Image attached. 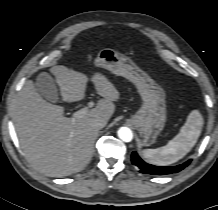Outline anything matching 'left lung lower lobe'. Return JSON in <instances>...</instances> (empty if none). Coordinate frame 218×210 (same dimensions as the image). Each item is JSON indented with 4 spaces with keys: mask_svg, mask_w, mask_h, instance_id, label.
<instances>
[{
    "mask_svg": "<svg viewBox=\"0 0 218 210\" xmlns=\"http://www.w3.org/2000/svg\"><path fill=\"white\" fill-rule=\"evenodd\" d=\"M131 160L132 163L139 168L141 173L152 174V175H165V174L177 173L182 169H184L186 166H188L191 162V160H188L187 162L181 165L173 166V167L154 166L144 162L136 152L132 153Z\"/></svg>",
    "mask_w": 218,
    "mask_h": 210,
    "instance_id": "obj_1",
    "label": "left lung lower lobe"
}]
</instances>
